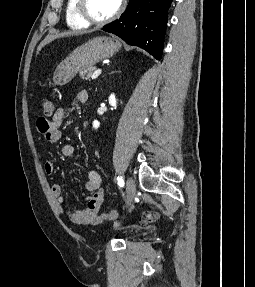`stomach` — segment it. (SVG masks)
I'll use <instances>...</instances> for the list:
<instances>
[{
  "label": "stomach",
  "mask_w": 255,
  "mask_h": 287,
  "mask_svg": "<svg viewBox=\"0 0 255 287\" xmlns=\"http://www.w3.org/2000/svg\"><path fill=\"white\" fill-rule=\"evenodd\" d=\"M121 44L117 38H107V36H98L92 38L86 44L78 46L71 52L66 60V66L63 70H58L54 76V82L57 86H63L71 82L72 78L82 72L85 68H91L102 60L112 58L115 52L120 50Z\"/></svg>",
  "instance_id": "stomach-1"
}]
</instances>
